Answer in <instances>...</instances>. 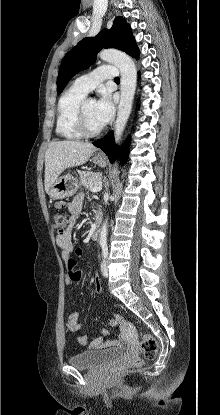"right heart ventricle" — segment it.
Instances as JSON below:
<instances>
[{
  "label": "right heart ventricle",
  "instance_id": "1",
  "mask_svg": "<svg viewBox=\"0 0 220 415\" xmlns=\"http://www.w3.org/2000/svg\"><path fill=\"white\" fill-rule=\"evenodd\" d=\"M85 97V93L72 86L59 98L56 116V133L59 137L67 140H78L83 137L75 127V113Z\"/></svg>",
  "mask_w": 220,
  "mask_h": 415
}]
</instances>
